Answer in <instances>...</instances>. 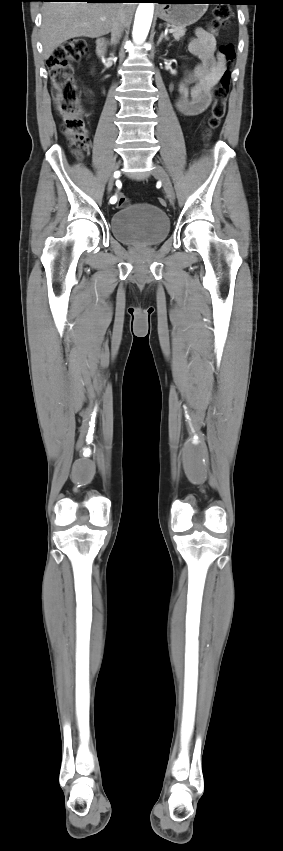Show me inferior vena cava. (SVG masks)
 <instances>
[{
    "instance_id": "obj_1",
    "label": "inferior vena cava",
    "mask_w": 283,
    "mask_h": 851,
    "mask_svg": "<svg viewBox=\"0 0 283 851\" xmlns=\"http://www.w3.org/2000/svg\"><path fill=\"white\" fill-rule=\"evenodd\" d=\"M124 27H125V17H124L123 13H120L118 18L116 19V21L113 23V26H112V29H111V44L112 45H116L119 42V40L122 36V33L124 31Z\"/></svg>"
}]
</instances>
